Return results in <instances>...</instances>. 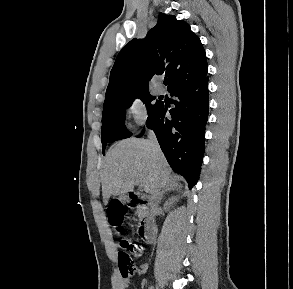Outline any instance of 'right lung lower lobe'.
Returning <instances> with one entry per match:
<instances>
[{
    "label": "right lung lower lobe",
    "mask_w": 293,
    "mask_h": 289,
    "mask_svg": "<svg viewBox=\"0 0 293 289\" xmlns=\"http://www.w3.org/2000/svg\"><path fill=\"white\" fill-rule=\"evenodd\" d=\"M175 108L160 102L148 115L147 126L157 137L160 147L174 171L187 180L191 189L198 181L204 155L205 125L208 119V77L181 84L170 91ZM144 131L139 135L142 136Z\"/></svg>",
    "instance_id": "1"
}]
</instances>
